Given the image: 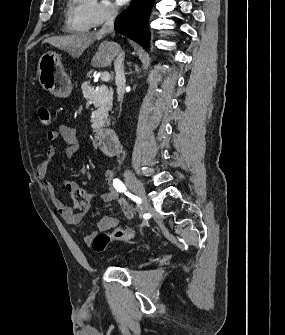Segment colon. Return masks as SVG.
<instances>
[{
	"label": "colon",
	"mask_w": 285,
	"mask_h": 335,
	"mask_svg": "<svg viewBox=\"0 0 285 335\" xmlns=\"http://www.w3.org/2000/svg\"><path fill=\"white\" fill-rule=\"evenodd\" d=\"M37 114L39 121L43 126H49L51 124V113L48 107L43 105L39 106ZM134 235V230L130 228L118 229L111 233L100 232L93 237L91 247L96 252H103L111 243L117 241H129Z\"/></svg>",
	"instance_id": "obj_1"
}]
</instances>
